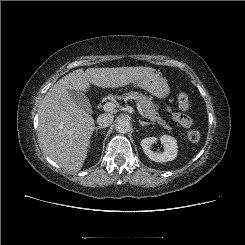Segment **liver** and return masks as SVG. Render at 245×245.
Returning a JSON list of instances; mask_svg holds the SVG:
<instances>
[{
  "mask_svg": "<svg viewBox=\"0 0 245 245\" xmlns=\"http://www.w3.org/2000/svg\"><path fill=\"white\" fill-rule=\"evenodd\" d=\"M151 67L77 69L57 81L46 93L40 110L38 139L43 151L60 167L79 171L87 156L94 118L69 96L68 90L87 91L128 85L154 73Z\"/></svg>",
  "mask_w": 245,
  "mask_h": 245,
  "instance_id": "6515ba94",
  "label": "liver"
}]
</instances>
